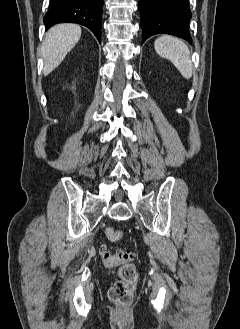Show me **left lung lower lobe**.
Segmentation results:
<instances>
[{
    "label": "left lung lower lobe",
    "mask_w": 240,
    "mask_h": 329,
    "mask_svg": "<svg viewBox=\"0 0 240 329\" xmlns=\"http://www.w3.org/2000/svg\"><path fill=\"white\" fill-rule=\"evenodd\" d=\"M142 42L155 34H170L189 43V0H139Z\"/></svg>",
    "instance_id": "obj_1"
}]
</instances>
